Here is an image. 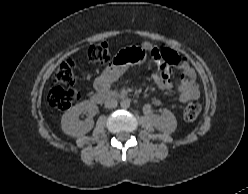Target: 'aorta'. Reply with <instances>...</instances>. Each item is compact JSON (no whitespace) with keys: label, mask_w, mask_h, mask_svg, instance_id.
I'll return each mask as SVG.
<instances>
[{"label":"aorta","mask_w":248,"mask_h":194,"mask_svg":"<svg viewBox=\"0 0 248 194\" xmlns=\"http://www.w3.org/2000/svg\"><path fill=\"white\" fill-rule=\"evenodd\" d=\"M120 106L121 108L123 109H127L130 107V99H123L121 102H120Z\"/></svg>","instance_id":"1"}]
</instances>
